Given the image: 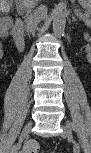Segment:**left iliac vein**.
<instances>
[{"instance_id":"4c4485c4","label":"left iliac vein","mask_w":91,"mask_h":153,"mask_svg":"<svg viewBox=\"0 0 91 153\" xmlns=\"http://www.w3.org/2000/svg\"><path fill=\"white\" fill-rule=\"evenodd\" d=\"M67 124H70V123H67ZM66 125L63 127V132H62L61 136L63 138H68L69 139V137H68V127Z\"/></svg>"}]
</instances>
